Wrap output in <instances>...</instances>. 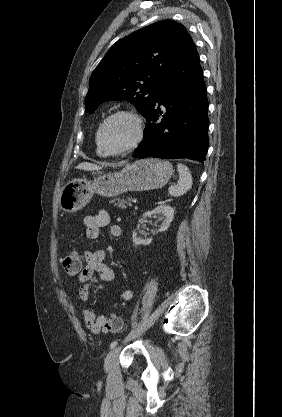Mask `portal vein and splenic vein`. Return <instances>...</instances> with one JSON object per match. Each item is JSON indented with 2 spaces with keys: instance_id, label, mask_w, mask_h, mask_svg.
<instances>
[{
  "instance_id": "obj_1",
  "label": "portal vein and splenic vein",
  "mask_w": 282,
  "mask_h": 417,
  "mask_svg": "<svg viewBox=\"0 0 282 417\" xmlns=\"http://www.w3.org/2000/svg\"><path fill=\"white\" fill-rule=\"evenodd\" d=\"M132 202H133V203H136V202H137V199H136V198H133V199H132Z\"/></svg>"
}]
</instances>
